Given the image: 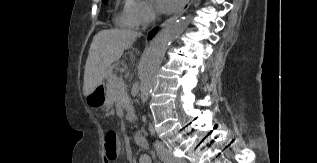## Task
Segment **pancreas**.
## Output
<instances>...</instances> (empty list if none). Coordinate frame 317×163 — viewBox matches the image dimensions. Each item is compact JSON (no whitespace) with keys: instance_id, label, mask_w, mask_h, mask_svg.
Returning a JSON list of instances; mask_svg holds the SVG:
<instances>
[{"instance_id":"obj_1","label":"pancreas","mask_w":317,"mask_h":163,"mask_svg":"<svg viewBox=\"0 0 317 163\" xmlns=\"http://www.w3.org/2000/svg\"><path fill=\"white\" fill-rule=\"evenodd\" d=\"M117 65L111 67L107 74V104L112 106L114 102L120 103L123 109L127 112L126 119L132 122L135 119L134 109L131 103V99L126 92V86L123 88L117 85L118 78L116 74L113 73V68L116 69Z\"/></svg>"}]
</instances>
